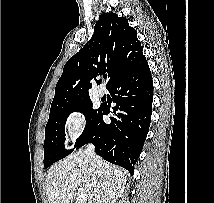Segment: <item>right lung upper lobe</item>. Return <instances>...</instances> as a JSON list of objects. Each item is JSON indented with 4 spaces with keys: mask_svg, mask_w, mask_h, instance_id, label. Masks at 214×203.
Here are the masks:
<instances>
[{
    "mask_svg": "<svg viewBox=\"0 0 214 203\" xmlns=\"http://www.w3.org/2000/svg\"><path fill=\"white\" fill-rule=\"evenodd\" d=\"M137 31L126 17L103 13L92 38L71 57L57 82L50 111L89 97V89L98 75L108 74L107 88L117 79L147 62Z\"/></svg>",
    "mask_w": 214,
    "mask_h": 203,
    "instance_id": "cb5924a9",
    "label": "right lung upper lobe"
}]
</instances>
